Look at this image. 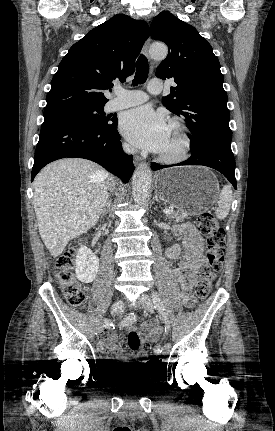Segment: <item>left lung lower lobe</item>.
I'll use <instances>...</instances> for the list:
<instances>
[{"mask_svg": "<svg viewBox=\"0 0 275 431\" xmlns=\"http://www.w3.org/2000/svg\"><path fill=\"white\" fill-rule=\"evenodd\" d=\"M192 150L191 157L179 164L170 165H204L221 172L236 189L235 159L231 150L230 142H207L196 145ZM153 170L169 167L152 163Z\"/></svg>", "mask_w": 275, "mask_h": 431, "instance_id": "obj_1", "label": "left lung lower lobe"}]
</instances>
